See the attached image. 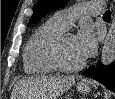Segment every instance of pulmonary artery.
<instances>
[{
	"mask_svg": "<svg viewBox=\"0 0 115 99\" xmlns=\"http://www.w3.org/2000/svg\"><path fill=\"white\" fill-rule=\"evenodd\" d=\"M104 10L103 1H91L69 9L56 12L51 20L64 29H68L73 21L81 15H98Z\"/></svg>",
	"mask_w": 115,
	"mask_h": 99,
	"instance_id": "obj_1",
	"label": "pulmonary artery"
}]
</instances>
